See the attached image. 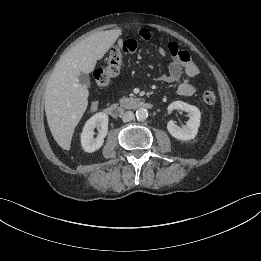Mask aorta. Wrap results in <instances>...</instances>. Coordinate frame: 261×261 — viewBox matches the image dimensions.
<instances>
[{"label":"aorta","instance_id":"1","mask_svg":"<svg viewBox=\"0 0 261 261\" xmlns=\"http://www.w3.org/2000/svg\"><path fill=\"white\" fill-rule=\"evenodd\" d=\"M136 117L138 120H145L148 117V111L145 108H139L136 111Z\"/></svg>","mask_w":261,"mask_h":261}]
</instances>
